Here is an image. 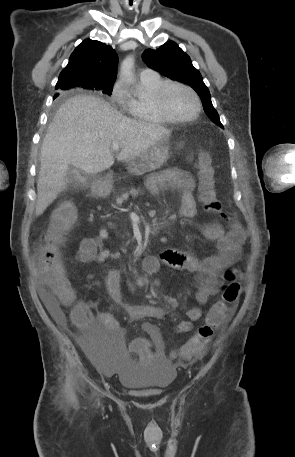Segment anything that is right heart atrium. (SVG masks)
Segmentation results:
<instances>
[{
  "instance_id": "1",
  "label": "right heart atrium",
  "mask_w": 295,
  "mask_h": 457,
  "mask_svg": "<svg viewBox=\"0 0 295 457\" xmlns=\"http://www.w3.org/2000/svg\"><path fill=\"white\" fill-rule=\"evenodd\" d=\"M111 98L122 109H128L130 97L121 82H116L111 91Z\"/></svg>"
}]
</instances>
